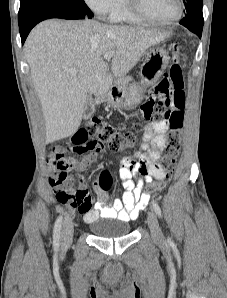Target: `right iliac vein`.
<instances>
[{
    "mask_svg": "<svg viewBox=\"0 0 227 298\" xmlns=\"http://www.w3.org/2000/svg\"><path fill=\"white\" fill-rule=\"evenodd\" d=\"M73 222L70 219H66L63 223L62 233H61V240H62V247L67 248L73 238Z\"/></svg>",
    "mask_w": 227,
    "mask_h": 298,
    "instance_id": "obj_1",
    "label": "right iliac vein"
}]
</instances>
